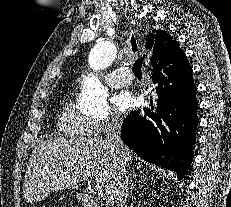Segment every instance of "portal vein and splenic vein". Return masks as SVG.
I'll use <instances>...</instances> for the list:
<instances>
[{
	"mask_svg": "<svg viewBox=\"0 0 231 207\" xmlns=\"http://www.w3.org/2000/svg\"><path fill=\"white\" fill-rule=\"evenodd\" d=\"M89 177H90L89 174H84L83 175L84 179H88ZM94 191L97 194L98 198L103 197V189L100 186H98L96 189H94L93 192Z\"/></svg>",
	"mask_w": 231,
	"mask_h": 207,
	"instance_id": "18ae733b",
	"label": "portal vein and splenic vein"
}]
</instances>
